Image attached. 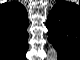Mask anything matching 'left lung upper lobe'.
<instances>
[{
	"label": "left lung upper lobe",
	"mask_w": 80,
	"mask_h": 60,
	"mask_svg": "<svg viewBox=\"0 0 80 60\" xmlns=\"http://www.w3.org/2000/svg\"><path fill=\"white\" fill-rule=\"evenodd\" d=\"M76 8L73 3L58 2L47 18L48 40L55 46L61 58L67 52L69 54L70 49L80 46V37L75 27L79 18L78 15L75 17Z\"/></svg>",
	"instance_id": "5c2ea615"
}]
</instances>
